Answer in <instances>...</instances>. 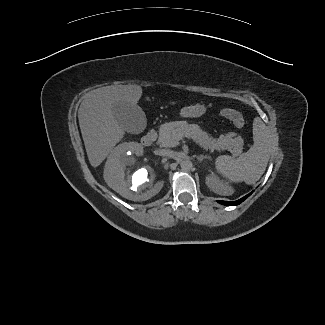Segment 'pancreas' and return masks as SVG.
I'll return each mask as SVG.
<instances>
[{"instance_id":"obj_1","label":"pancreas","mask_w":325,"mask_h":325,"mask_svg":"<svg viewBox=\"0 0 325 325\" xmlns=\"http://www.w3.org/2000/svg\"><path fill=\"white\" fill-rule=\"evenodd\" d=\"M182 137L192 138L206 149L229 150L233 156L242 153L244 141L235 132L220 135L215 139L203 131L197 124H188L186 121H175L160 126L158 144L160 147H175Z\"/></svg>"}]
</instances>
